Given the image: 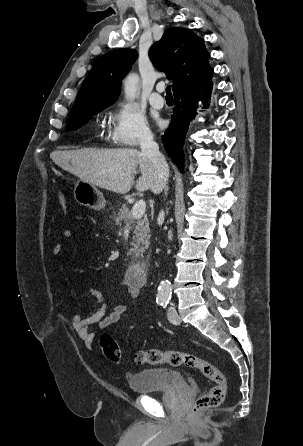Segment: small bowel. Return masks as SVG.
<instances>
[{
    "label": "small bowel",
    "instance_id": "1",
    "mask_svg": "<svg viewBox=\"0 0 303 446\" xmlns=\"http://www.w3.org/2000/svg\"><path fill=\"white\" fill-rule=\"evenodd\" d=\"M62 234L65 240H70L75 235L74 231L69 228L65 229ZM62 250L63 245L61 243L55 244L53 248L54 255H60ZM88 293L97 301L99 307L86 317H82L78 313H73L71 316V321L72 327L79 338L84 342L86 346L91 347L94 344L95 340V333L92 330V327L95 326L97 328H106L115 324L126 313L127 305L118 303L110 312H108L104 294L100 290L96 288H89ZM139 296L140 287L133 286L128 283L127 297L129 298V300L132 303H136L139 299Z\"/></svg>",
    "mask_w": 303,
    "mask_h": 446
}]
</instances>
